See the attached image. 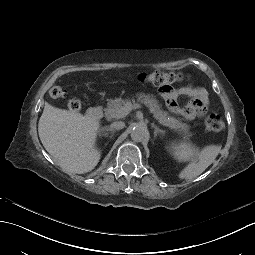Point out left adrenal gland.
I'll return each mask as SVG.
<instances>
[{
  "mask_svg": "<svg viewBox=\"0 0 255 255\" xmlns=\"http://www.w3.org/2000/svg\"><path fill=\"white\" fill-rule=\"evenodd\" d=\"M151 127L154 128V138H156L158 134H160V135L165 134V132L163 130L159 129L156 125L151 124Z\"/></svg>",
  "mask_w": 255,
  "mask_h": 255,
  "instance_id": "left-adrenal-gland-1",
  "label": "left adrenal gland"
}]
</instances>
